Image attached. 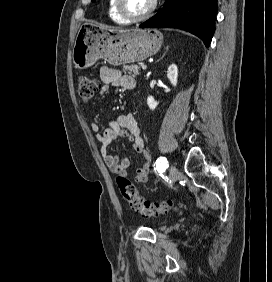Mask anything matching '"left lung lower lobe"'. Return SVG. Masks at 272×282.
Instances as JSON below:
<instances>
[{"instance_id":"0a47b994","label":"left lung lower lobe","mask_w":272,"mask_h":282,"mask_svg":"<svg viewBox=\"0 0 272 282\" xmlns=\"http://www.w3.org/2000/svg\"><path fill=\"white\" fill-rule=\"evenodd\" d=\"M217 0H165L141 28H178L201 38L209 47L215 31Z\"/></svg>"}]
</instances>
